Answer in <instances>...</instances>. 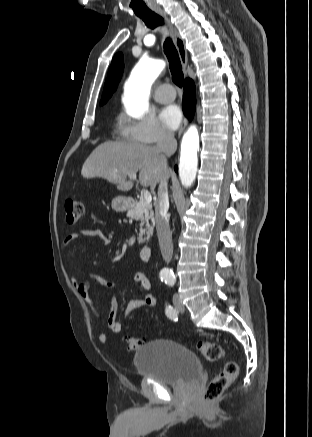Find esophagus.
I'll use <instances>...</instances> for the list:
<instances>
[{
    "label": "esophagus",
    "instance_id": "34e87169",
    "mask_svg": "<svg viewBox=\"0 0 312 437\" xmlns=\"http://www.w3.org/2000/svg\"><path fill=\"white\" fill-rule=\"evenodd\" d=\"M158 14H159L163 19H165V20L167 21V23H168V25H169V27H170L172 33H173V37H174L175 46H176V49H177V52H178V56H179V58H180V62H181L182 68H183V70H184V72H185V74H186L188 58H187V51H186V48H185L184 41H183V39L180 37V35H179V33L176 31V29L173 27V25L171 24V22H170L169 18L167 17V15H166L163 11L158 12ZM186 123H187V119L184 118V119H183V122H182V124H181V126H180L179 132H178V136H179V137H180L181 134L183 133V131H184V129H185V126H186Z\"/></svg>",
    "mask_w": 312,
    "mask_h": 437
}]
</instances>
